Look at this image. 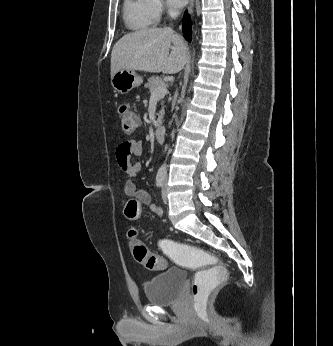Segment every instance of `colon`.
Instances as JSON below:
<instances>
[{"label":"colon","mask_w":333,"mask_h":346,"mask_svg":"<svg viewBox=\"0 0 333 346\" xmlns=\"http://www.w3.org/2000/svg\"><path fill=\"white\" fill-rule=\"evenodd\" d=\"M124 134L131 135L138 127V116L132 107L123 103L118 108ZM125 217L134 222L139 216V202L135 199L127 202ZM130 248L134 259L149 270H164L171 260L175 268H189L198 271L191 286L192 309L195 314L208 309L209 299L216 294V288H226L230 273L225 264H219L220 258L209 252L193 247V244H180L178 240H161L159 255L151 253L147 246L136 238V231L130 230ZM160 248L159 246L157 247ZM165 248V249H164ZM165 256V258L161 257Z\"/></svg>","instance_id":"obj_1"}]
</instances>
